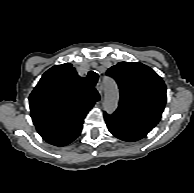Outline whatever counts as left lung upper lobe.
<instances>
[{"label":"left lung upper lobe","instance_id":"5c2ea615","mask_svg":"<svg viewBox=\"0 0 194 193\" xmlns=\"http://www.w3.org/2000/svg\"><path fill=\"white\" fill-rule=\"evenodd\" d=\"M120 89L115 115L150 127L160 120L166 103V86L162 78L140 62H120L108 69Z\"/></svg>","mask_w":194,"mask_h":193}]
</instances>
